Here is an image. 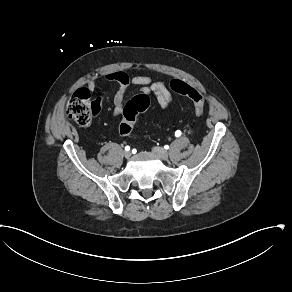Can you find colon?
Segmentation results:
<instances>
[{"instance_id":"obj_1","label":"colon","mask_w":292,"mask_h":292,"mask_svg":"<svg viewBox=\"0 0 292 292\" xmlns=\"http://www.w3.org/2000/svg\"><path fill=\"white\" fill-rule=\"evenodd\" d=\"M172 90L178 94L190 97L195 103V114L202 117L204 114V97L179 79L169 82ZM152 105L151 99L146 94H137L129 100L123 108L122 119L118 125L119 132L124 136L131 135L135 130V122L140 112L147 111ZM101 101L92 98L87 89L80 88L73 92L66 105V114L79 125L89 126L92 118L100 112Z\"/></svg>"}]
</instances>
